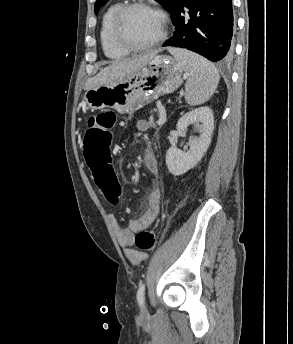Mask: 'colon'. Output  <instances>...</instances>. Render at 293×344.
<instances>
[{"instance_id":"5ec220e1","label":"colon","mask_w":293,"mask_h":344,"mask_svg":"<svg viewBox=\"0 0 293 344\" xmlns=\"http://www.w3.org/2000/svg\"><path fill=\"white\" fill-rule=\"evenodd\" d=\"M116 115L103 111L91 115L83 141V154L98 188L110 204L119 200L121 189L112 169L111 145ZM157 243L153 230H140L135 236L136 248L141 252L153 251Z\"/></svg>"}]
</instances>
